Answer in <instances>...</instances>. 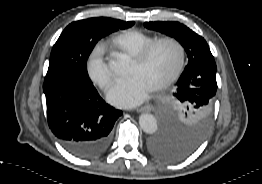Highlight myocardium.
Wrapping results in <instances>:
<instances>
[{"instance_id": "f54148a6", "label": "myocardium", "mask_w": 262, "mask_h": 184, "mask_svg": "<svg viewBox=\"0 0 262 184\" xmlns=\"http://www.w3.org/2000/svg\"><path fill=\"white\" fill-rule=\"evenodd\" d=\"M165 42L172 43L178 48V50H179V61H178L176 68L174 69V71L164 81H162L157 86L153 87V89H152L153 91H161V90L166 89L171 84H173L178 79V77L180 76L181 72L184 69L185 63H186V49H185L184 44L179 39L172 37V36L161 37V38L154 40L153 42L148 44L146 47H144L132 59V61L136 64L144 63L149 58V56L154 51V49L158 45L165 43Z\"/></svg>"}]
</instances>
